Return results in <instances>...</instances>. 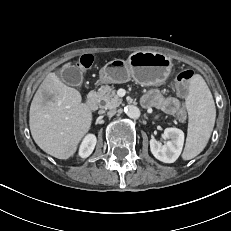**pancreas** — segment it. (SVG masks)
Returning <instances> with one entry per match:
<instances>
[{
    "instance_id": "cf45deb5",
    "label": "pancreas",
    "mask_w": 231,
    "mask_h": 231,
    "mask_svg": "<svg viewBox=\"0 0 231 231\" xmlns=\"http://www.w3.org/2000/svg\"><path fill=\"white\" fill-rule=\"evenodd\" d=\"M95 99L102 109H112L122 103V99L116 94L113 86H102L95 92Z\"/></svg>"
}]
</instances>
